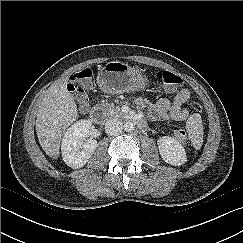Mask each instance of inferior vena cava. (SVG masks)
<instances>
[{
  "label": "inferior vena cava",
  "instance_id": "602c4592",
  "mask_svg": "<svg viewBox=\"0 0 243 243\" xmlns=\"http://www.w3.org/2000/svg\"><path fill=\"white\" fill-rule=\"evenodd\" d=\"M122 129V122L116 118L109 119L105 124V132L108 135H118L122 132Z\"/></svg>",
  "mask_w": 243,
  "mask_h": 243
}]
</instances>
